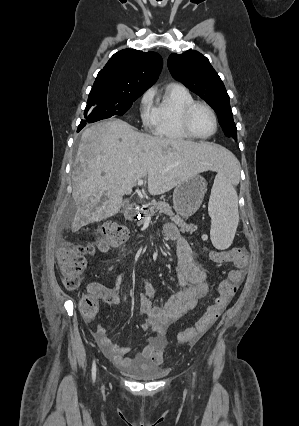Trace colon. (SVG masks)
<instances>
[{
	"instance_id": "5ec220e1",
	"label": "colon",
	"mask_w": 299,
	"mask_h": 426,
	"mask_svg": "<svg viewBox=\"0 0 299 426\" xmlns=\"http://www.w3.org/2000/svg\"><path fill=\"white\" fill-rule=\"evenodd\" d=\"M127 230L114 222H107L98 229V239L91 244H73L66 242L58 249L57 259L63 284L69 291L77 290L82 283L86 268V256L96 248L107 251L121 245L127 238ZM210 258L218 264L232 263L234 268L220 281L215 302L208 307L204 315L192 326L178 335L182 343H192L204 334L219 318L241 285L248 263V252L244 247L228 250H214ZM79 307L86 317H94L99 309V296L90 292L81 297Z\"/></svg>"
}]
</instances>
